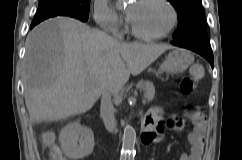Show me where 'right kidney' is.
<instances>
[{
    "mask_svg": "<svg viewBox=\"0 0 242 160\" xmlns=\"http://www.w3.org/2000/svg\"><path fill=\"white\" fill-rule=\"evenodd\" d=\"M64 154L74 160L90 155L94 149V134L79 123H69L59 134Z\"/></svg>",
    "mask_w": 242,
    "mask_h": 160,
    "instance_id": "obj_1",
    "label": "right kidney"
}]
</instances>
